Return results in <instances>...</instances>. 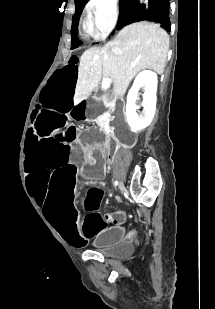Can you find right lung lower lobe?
<instances>
[{
  "instance_id": "obj_1",
  "label": "right lung lower lobe",
  "mask_w": 215,
  "mask_h": 309,
  "mask_svg": "<svg viewBox=\"0 0 215 309\" xmlns=\"http://www.w3.org/2000/svg\"><path fill=\"white\" fill-rule=\"evenodd\" d=\"M142 20L158 23L170 31L169 0H133L119 15L117 29Z\"/></svg>"
}]
</instances>
